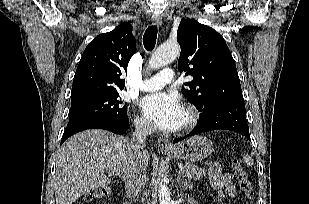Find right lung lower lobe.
<instances>
[{"instance_id": "98d812e1", "label": "right lung lower lobe", "mask_w": 309, "mask_h": 204, "mask_svg": "<svg viewBox=\"0 0 309 204\" xmlns=\"http://www.w3.org/2000/svg\"><path fill=\"white\" fill-rule=\"evenodd\" d=\"M105 129L112 131L116 134H124L129 129V122L128 123H120L108 118L98 117V116H87L78 118L72 121H69L65 132L63 134V138L61 140V144L69 138L71 135L87 130V129Z\"/></svg>"}]
</instances>
